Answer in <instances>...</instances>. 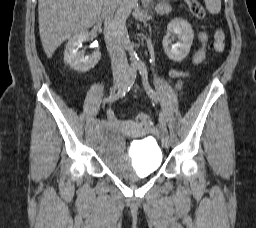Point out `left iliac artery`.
I'll use <instances>...</instances> for the list:
<instances>
[{
  "label": "left iliac artery",
  "mask_w": 256,
  "mask_h": 228,
  "mask_svg": "<svg viewBox=\"0 0 256 228\" xmlns=\"http://www.w3.org/2000/svg\"><path fill=\"white\" fill-rule=\"evenodd\" d=\"M137 68L139 70V73L142 77V82L144 85V88L147 92V94L157 103L158 97L155 91L151 88L149 81H148V73H147V67L143 62L138 63ZM159 122L162 132L168 133L166 122L164 119V116L162 113L159 114Z\"/></svg>",
  "instance_id": "1"
}]
</instances>
